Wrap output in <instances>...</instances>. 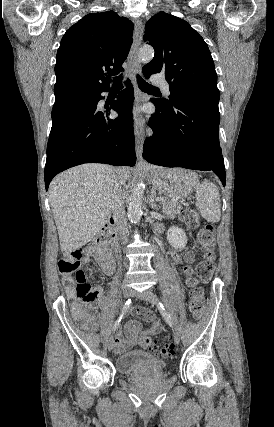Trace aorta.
<instances>
[{
    "label": "aorta",
    "mask_w": 274,
    "mask_h": 427,
    "mask_svg": "<svg viewBox=\"0 0 274 427\" xmlns=\"http://www.w3.org/2000/svg\"><path fill=\"white\" fill-rule=\"evenodd\" d=\"M154 57V50L151 46H142L138 53L140 61L149 63ZM144 198V189L136 183L132 189L130 203L128 206V218L132 223H137L142 215V204Z\"/></svg>",
    "instance_id": "aorta-1"
}]
</instances>
